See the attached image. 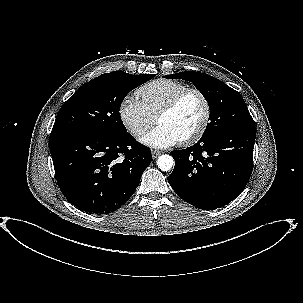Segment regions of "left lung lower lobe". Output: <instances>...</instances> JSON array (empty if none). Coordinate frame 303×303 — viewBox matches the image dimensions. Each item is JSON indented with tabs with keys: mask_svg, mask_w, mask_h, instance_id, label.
Returning a JSON list of instances; mask_svg holds the SVG:
<instances>
[{
	"mask_svg": "<svg viewBox=\"0 0 303 303\" xmlns=\"http://www.w3.org/2000/svg\"><path fill=\"white\" fill-rule=\"evenodd\" d=\"M254 141L255 127H239L174 150L175 167L168 182L180 198L199 209L225 206L249 181Z\"/></svg>",
	"mask_w": 303,
	"mask_h": 303,
	"instance_id": "obj_1",
	"label": "left lung lower lobe"
}]
</instances>
